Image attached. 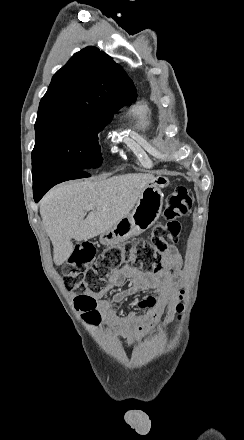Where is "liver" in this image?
Instances as JSON below:
<instances>
[{"instance_id": "1", "label": "liver", "mask_w": 244, "mask_h": 440, "mask_svg": "<svg viewBox=\"0 0 244 440\" xmlns=\"http://www.w3.org/2000/svg\"><path fill=\"white\" fill-rule=\"evenodd\" d=\"M152 174H123L108 180H74L52 188L40 202V216L53 246V260L70 258L72 240L82 242L103 234L133 210ZM88 206L93 210L89 212Z\"/></svg>"}]
</instances>
